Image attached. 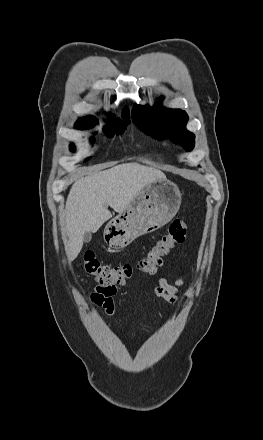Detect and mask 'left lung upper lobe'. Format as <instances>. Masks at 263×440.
I'll use <instances>...</instances> for the list:
<instances>
[{
	"label": "left lung upper lobe",
	"mask_w": 263,
	"mask_h": 440,
	"mask_svg": "<svg viewBox=\"0 0 263 440\" xmlns=\"http://www.w3.org/2000/svg\"><path fill=\"white\" fill-rule=\"evenodd\" d=\"M132 113L133 122L146 134L157 139L170 138L187 151L194 148L195 136L185 128L188 116L184 111L161 105H135Z\"/></svg>",
	"instance_id": "1"
}]
</instances>
